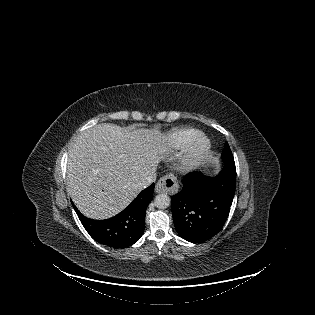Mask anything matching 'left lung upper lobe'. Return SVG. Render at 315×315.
<instances>
[{
	"label": "left lung upper lobe",
	"instance_id": "1",
	"mask_svg": "<svg viewBox=\"0 0 315 315\" xmlns=\"http://www.w3.org/2000/svg\"><path fill=\"white\" fill-rule=\"evenodd\" d=\"M221 157L225 166H235L234 157L227 142L225 143Z\"/></svg>",
	"mask_w": 315,
	"mask_h": 315
}]
</instances>
